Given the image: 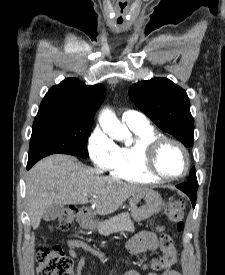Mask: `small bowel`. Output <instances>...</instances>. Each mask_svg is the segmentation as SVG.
<instances>
[{
	"label": "small bowel",
	"mask_w": 225,
	"mask_h": 275,
	"mask_svg": "<svg viewBox=\"0 0 225 275\" xmlns=\"http://www.w3.org/2000/svg\"><path fill=\"white\" fill-rule=\"evenodd\" d=\"M68 254L72 259L78 260L77 264V275H82L83 270L86 266V260L84 257L79 256V251L83 250L86 253L98 257L101 261H105L106 256L92 248L85 241L80 239H70L68 240ZM160 248L158 236L154 232L143 231L134 236L128 243V250L134 255L143 254L147 251H155ZM111 275H115L113 271L110 272ZM124 275H142L138 271L131 270L126 272ZM146 275H158L154 272H150ZM161 275H181V273L175 269H169L162 273Z\"/></svg>",
	"instance_id": "obj_1"
}]
</instances>
